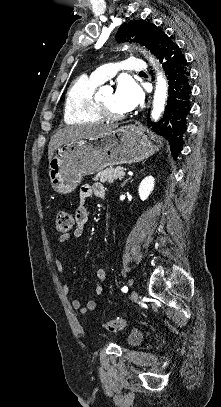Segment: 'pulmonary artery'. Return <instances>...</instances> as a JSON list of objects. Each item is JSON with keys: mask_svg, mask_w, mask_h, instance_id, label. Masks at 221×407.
I'll return each instance as SVG.
<instances>
[{"mask_svg": "<svg viewBox=\"0 0 221 407\" xmlns=\"http://www.w3.org/2000/svg\"><path fill=\"white\" fill-rule=\"evenodd\" d=\"M146 70L147 65L142 60L126 56L121 62L101 65L91 73V77L94 81L101 84L111 78L117 71L137 74Z\"/></svg>", "mask_w": 221, "mask_h": 407, "instance_id": "1", "label": "pulmonary artery"}]
</instances>
